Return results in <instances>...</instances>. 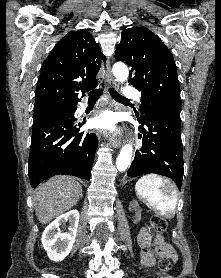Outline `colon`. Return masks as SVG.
Here are the masks:
<instances>
[{
  "label": "colon",
  "mask_w": 221,
  "mask_h": 278,
  "mask_svg": "<svg viewBox=\"0 0 221 278\" xmlns=\"http://www.w3.org/2000/svg\"><path fill=\"white\" fill-rule=\"evenodd\" d=\"M150 227L152 232L155 235H158L164 232L167 229V221L165 218L161 216H153L151 219ZM158 250L161 253L158 261V266L161 271L168 272L173 268V260L174 258L169 255L167 249L165 248V244L161 239H158Z\"/></svg>",
  "instance_id": "1"
}]
</instances>
